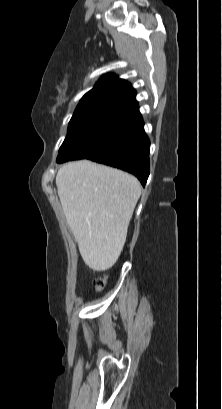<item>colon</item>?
<instances>
[{"mask_svg":"<svg viewBox=\"0 0 222 409\" xmlns=\"http://www.w3.org/2000/svg\"><path fill=\"white\" fill-rule=\"evenodd\" d=\"M105 283H106V280H105L104 277H98V278L94 279V281H93V285L97 290L103 289L104 286H105Z\"/></svg>","mask_w":222,"mask_h":409,"instance_id":"1","label":"colon"}]
</instances>
